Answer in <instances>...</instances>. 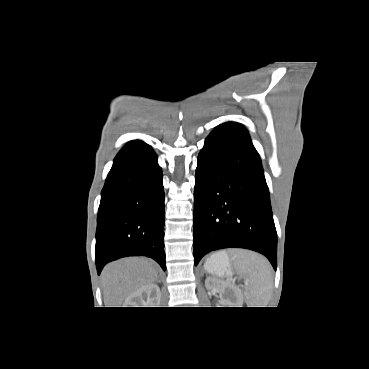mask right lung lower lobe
Returning <instances> with one entry per match:
<instances>
[{
  "mask_svg": "<svg viewBox=\"0 0 369 369\" xmlns=\"http://www.w3.org/2000/svg\"><path fill=\"white\" fill-rule=\"evenodd\" d=\"M162 170L154 151L140 140L117 154L101 193L96 266L125 256H148L166 270Z\"/></svg>",
  "mask_w": 369,
  "mask_h": 369,
  "instance_id": "1",
  "label": "right lung lower lobe"
}]
</instances>
